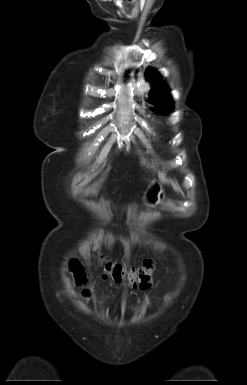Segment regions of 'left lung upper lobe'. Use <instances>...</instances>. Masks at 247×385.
<instances>
[{
    "mask_svg": "<svg viewBox=\"0 0 247 385\" xmlns=\"http://www.w3.org/2000/svg\"><path fill=\"white\" fill-rule=\"evenodd\" d=\"M146 79L151 83L150 103L156 106L153 110L159 114H167L173 109V101L162 77L152 70L146 72Z\"/></svg>",
    "mask_w": 247,
    "mask_h": 385,
    "instance_id": "left-lung-upper-lobe-1",
    "label": "left lung upper lobe"
}]
</instances>
